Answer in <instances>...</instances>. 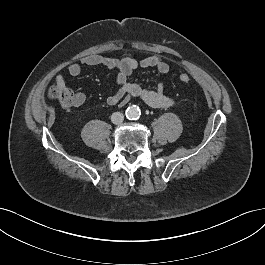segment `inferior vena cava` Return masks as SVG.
I'll return each instance as SVG.
<instances>
[{"label": "inferior vena cava", "mask_w": 265, "mask_h": 265, "mask_svg": "<svg viewBox=\"0 0 265 265\" xmlns=\"http://www.w3.org/2000/svg\"><path fill=\"white\" fill-rule=\"evenodd\" d=\"M124 120V115L121 112H114L111 115V121L113 124H121Z\"/></svg>", "instance_id": "602c4592"}]
</instances>
